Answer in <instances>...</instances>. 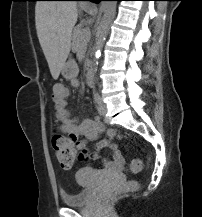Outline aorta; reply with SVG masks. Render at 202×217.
<instances>
[{
  "label": "aorta",
  "mask_w": 202,
  "mask_h": 217,
  "mask_svg": "<svg viewBox=\"0 0 202 217\" xmlns=\"http://www.w3.org/2000/svg\"><path fill=\"white\" fill-rule=\"evenodd\" d=\"M116 1H103L101 2V8L103 11V17L101 19L97 35H96V42H95V48H94V60H98L101 55V49L103 47V44L105 42L109 25L112 22L115 11H116Z\"/></svg>",
  "instance_id": "obj_1"
}]
</instances>
